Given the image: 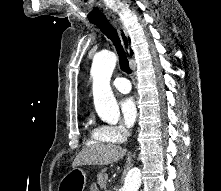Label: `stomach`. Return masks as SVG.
<instances>
[{
  "label": "stomach",
  "mask_w": 221,
  "mask_h": 191,
  "mask_svg": "<svg viewBox=\"0 0 221 191\" xmlns=\"http://www.w3.org/2000/svg\"><path fill=\"white\" fill-rule=\"evenodd\" d=\"M86 173L81 168H73L58 185V191H83L86 186Z\"/></svg>",
  "instance_id": "obj_1"
}]
</instances>
